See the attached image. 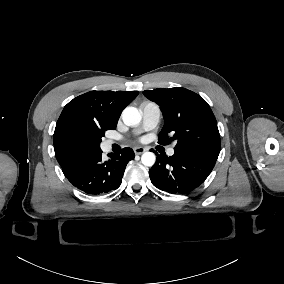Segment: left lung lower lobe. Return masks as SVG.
Returning a JSON list of instances; mask_svg holds the SVG:
<instances>
[{
    "instance_id": "1",
    "label": "left lung lower lobe",
    "mask_w": 284,
    "mask_h": 284,
    "mask_svg": "<svg viewBox=\"0 0 284 284\" xmlns=\"http://www.w3.org/2000/svg\"><path fill=\"white\" fill-rule=\"evenodd\" d=\"M157 155L149 170L152 184L171 194H187L200 186L215 166V160L188 151H176L173 156Z\"/></svg>"
}]
</instances>
